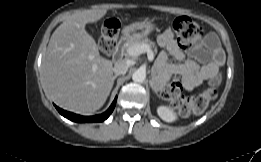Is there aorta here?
Instances as JSON below:
<instances>
[{"label":"aorta","mask_w":261,"mask_h":162,"mask_svg":"<svg viewBox=\"0 0 261 162\" xmlns=\"http://www.w3.org/2000/svg\"><path fill=\"white\" fill-rule=\"evenodd\" d=\"M146 78V72L143 69L136 70L132 75V80L134 82L142 83Z\"/></svg>","instance_id":"aorta-1"}]
</instances>
